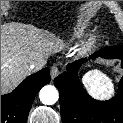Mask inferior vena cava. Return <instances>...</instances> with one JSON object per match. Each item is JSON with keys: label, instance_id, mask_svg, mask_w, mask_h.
Returning <instances> with one entry per match:
<instances>
[{"label": "inferior vena cava", "instance_id": "inferior-vena-cava-1", "mask_svg": "<svg viewBox=\"0 0 123 123\" xmlns=\"http://www.w3.org/2000/svg\"><path fill=\"white\" fill-rule=\"evenodd\" d=\"M46 61H42V62H38V63H35V62H32L31 64H29L27 66V69L31 72V71H38L40 69L43 68V66L45 65Z\"/></svg>", "mask_w": 123, "mask_h": 123}]
</instances>
